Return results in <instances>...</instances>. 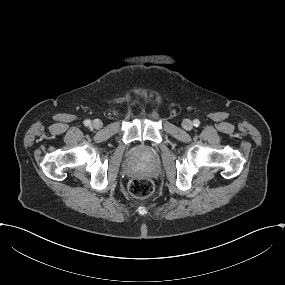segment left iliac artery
Listing matches in <instances>:
<instances>
[{
  "instance_id": "left-iliac-artery-1",
  "label": "left iliac artery",
  "mask_w": 285,
  "mask_h": 285,
  "mask_svg": "<svg viewBox=\"0 0 285 285\" xmlns=\"http://www.w3.org/2000/svg\"><path fill=\"white\" fill-rule=\"evenodd\" d=\"M193 125H194L195 127H198V126L200 125V121H199L198 119H195V120L193 121Z\"/></svg>"
}]
</instances>
